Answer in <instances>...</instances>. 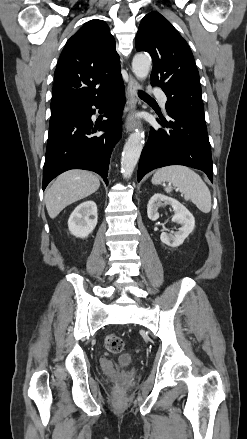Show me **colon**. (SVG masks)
Returning a JSON list of instances; mask_svg holds the SVG:
<instances>
[{"mask_svg": "<svg viewBox=\"0 0 247 439\" xmlns=\"http://www.w3.org/2000/svg\"><path fill=\"white\" fill-rule=\"evenodd\" d=\"M105 347L111 353L117 354L123 350L124 343L119 336L115 334H109L105 338Z\"/></svg>", "mask_w": 247, "mask_h": 439, "instance_id": "obj_1", "label": "colon"}]
</instances>
